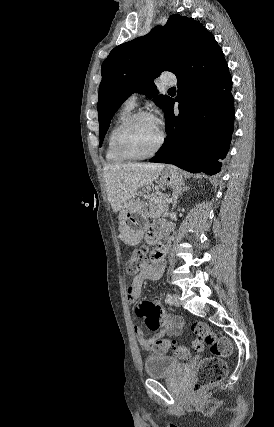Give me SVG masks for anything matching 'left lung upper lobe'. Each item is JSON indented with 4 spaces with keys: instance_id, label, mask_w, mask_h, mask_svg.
I'll return each instance as SVG.
<instances>
[{
    "instance_id": "1",
    "label": "left lung upper lobe",
    "mask_w": 274,
    "mask_h": 427,
    "mask_svg": "<svg viewBox=\"0 0 274 427\" xmlns=\"http://www.w3.org/2000/svg\"><path fill=\"white\" fill-rule=\"evenodd\" d=\"M213 35L193 18L171 15L164 27L115 47L101 67L102 81L97 104L100 146L110 121L132 93L148 94L164 111L167 95H158L153 79L163 71L177 75L195 51Z\"/></svg>"
}]
</instances>
